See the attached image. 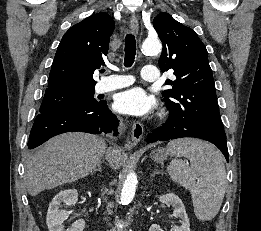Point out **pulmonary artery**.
Listing matches in <instances>:
<instances>
[{
  "mask_svg": "<svg viewBox=\"0 0 261 231\" xmlns=\"http://www.w3.org/2000/svg\"><path fill=\"white\" fill-rule=\"evenodd\" d=\"M142 79L148 82L158 80V69L155 66L146 65L142 69ZM133 83V78L129 75H111L99 83V91L107 92L111 90L127 87Z\"/></svg>",
  "mask_w": 261,
  "mask_h": 231,
  "instance_id": "pulmonary-artery-1",
  "label": "pulmonary artery"
}]
</instances>
